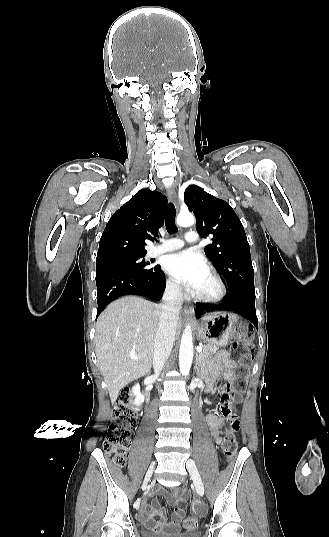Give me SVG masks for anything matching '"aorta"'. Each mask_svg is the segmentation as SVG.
Listing matches in <instances>:
<instances>
[{"mask_svg":"<svg viewBox=\"0 0 329 537\" xmlns=\"http://www.w3.org/2000/svg\"><path fill=\"white\" fill-rule=\"evenodd\" d=\"M177 224L181 227L192 226L195 223L194 215L186 212L180 213L176 220ZM193 360V341L192 331L189 325L186 326L180 344L179 351V368L182 375H189L191 364Z\"/></svg>","mask_w":329,"mask_h":537,"instance_id":"1","label":"aorta"}]
</instances>
